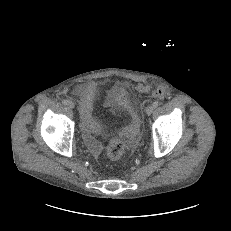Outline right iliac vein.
Here are the masks:
<instances>
[{
    "label": "right iliac vein",
    "instance_id": "1",
    "mask_svg": "<svg viewBox=\"0 0 231 231\" xmlns=\"http://www.w3.org/2000/svg\"><path fill=\"white\" fill-rule=\"evenodd\" d=\"M67 106H68L69 108L73 109V108L75 107V104H74L73 101L69 100V101L67 102Z\"/></svg>",
    "mask_w": 231,
    "mask_h": 231
}]
</instances>
